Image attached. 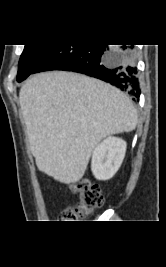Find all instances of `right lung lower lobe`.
<instances>
[{
    "mask_svg": "<svg viewBox=\"0 0 166 267\" xmlns=\"http://www.w3.org/2000/svg\"><path fill=\"white\" fill-rule=\"evenodd\" d=\"M49 70L73 71L101 79L139 101L141 89L132 45H58L33 73Z\"/></svg>",
    "mask_w": 166,
    "mask_h": 267,
    "instance_id": "obj_1",
    "label": "right lung lower lobe"
}]
</instances>
